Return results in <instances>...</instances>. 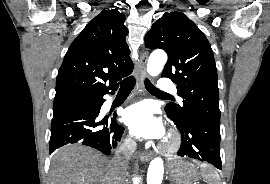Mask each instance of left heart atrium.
<instances>
[{"label":"left heart atrium","mask_w":270,"mask_h":184,"mask_svg":"<svg viewBox=\"0 0 270 184\" xmlns=\"http://www.w3.org/2000/svg\"><path fill=\"white\" fill-rule=\"evenodd\" d=\"M123 120L135 136L160 139L165 134L164 126L158 119L152 107L146 102H140L128 107Z\"/></svg>","instance_id":"39dd6f15"}]
</instances>
